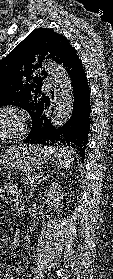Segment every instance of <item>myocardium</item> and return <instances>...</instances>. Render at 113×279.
Instances as JSON below:
<instances>
[{
	"label": "myocardium",
	"mask_w": 113,
	"mask_h": 279,
	"mask_svg": "<svg viewBox=\"0 0 113 279\" xmlns=\"http://www.w3.org/2000/svg\"><path fill=\"white\" fill-rule=\"evenodd\" d=\"M3 115L14 117L16 125L14 129L1 134L0 141H8L22 137L27 129V121L23 110L14 105H3L0 107V117Z\"/></svg>",
	"instance_id": "f54148a6"
}]
</instances>
